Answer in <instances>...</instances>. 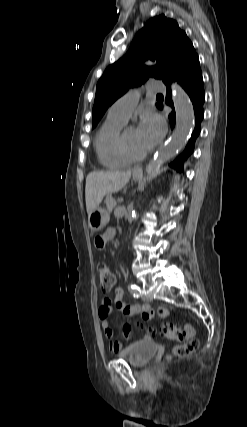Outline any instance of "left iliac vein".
<instances>
[{
	"mask_svg": "<svg viewBox=\"0 0 247 427\" xmlns=\"http://www.w3.org/2000/svg\"><path fill=\"white\" fill-rule=\"evenodd\" d=\"M142 298H143V300L148 301V302H151L153 300L152 296H150V295H143Z\"/></svg>",
	"mask_w": 247,
	"mask_h": 427,
	"instance_id": "4c4485c4",
	"label": "left iliac vein"
}]
</instances>
